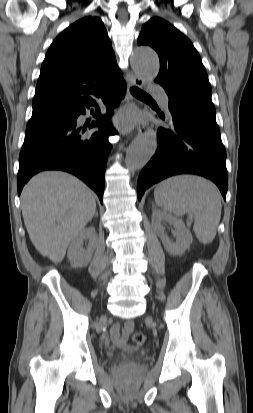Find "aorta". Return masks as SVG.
I'll return each instance as SVG.
<instances>
[{
  "label": "aorta",
  "instance_id": "762f6f07",
  "mask_svg": "<svg viewBox=\"0 0 253 413\" xmlns=\"http://www.w3.org/2000/svg\"><path fill=\"white\" fill-rule=\"evenodd\" d=\"M132 67L141 78L153 79L159 72L158 56L150 47L139 46L133 51ZM156 148L157 139L154 132L148 131L137 137L128 148L126 166L131 170L142 168L154 155Z\"/></svg>",
  "mask_w": 253,
  "mask_h": 413
}]
</instances>
